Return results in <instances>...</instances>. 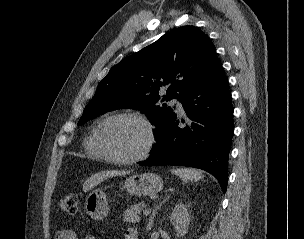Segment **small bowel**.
<instances>
[{
    "instance_id": "small-bowel-1",
    "label": "small bowel",
    "mask_w": 304,
    "mask_h": 239,
    "mask_svg": "<svg viewBox=\"0 0 304 239\" xmlns=\"http://www.w3.org/2000/svg\"><path fill=\"white\" fill-rule=\"evenodd\" d=\"M83 235L84 239H96L94 235L69 228H62L56 232L55 239H79ZM124 239H138L137 231L134 228L126 230Z\"/></svg>"
}]
</instances>
